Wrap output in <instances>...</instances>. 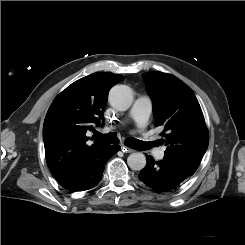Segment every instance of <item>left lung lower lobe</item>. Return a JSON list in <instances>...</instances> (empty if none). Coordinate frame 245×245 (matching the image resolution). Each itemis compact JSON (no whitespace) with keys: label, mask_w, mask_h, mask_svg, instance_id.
Returning <instances> with one entry per match:
<instances>
[{"label":"left lung lower lobe","mask_w":245,"mask_h":245,"mask_svg":"<svg viewBox=\"0 0 245 245\" xmlns=\"http://www.w3.org/2000/svg\"><path fill=\"white\" fill-rule=\"evenodd\" d=\"M147 165L141 170L138 177L148 187L169 192L180 187L197 170L199 164L188 163L172 155L165 154L164 158L155 162L146 155Z\"/></svg>","instance_id":"0a47b994"}]
</instances>
